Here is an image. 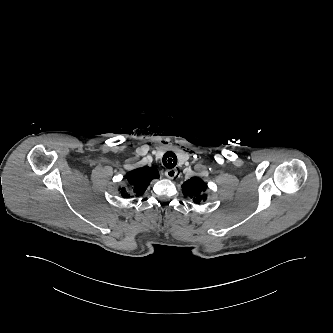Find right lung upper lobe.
Masks as SVG:
<instances>
[{
    "mask_svg": "<svg viewBox=\"0 0 333 333\" xmlns=\"http://www.w3.org/2000/svg\"><path fill=\"white\" fill-rule=\"evenodd\" d=\"M125 177L127 178L128 183L132 186L133 193L138 196L144 193L152 179L159 178V173L158 170L153 167H143L128 172ZM119 190L122 197H130L131 194L127 193L125 188Z\"/></svg>",
    "mask_w": 333,
    "mask_h": 333,
    "instance_id": "cb5924a9",
    "label": "right lung upper lobe"
}]
</instances>
